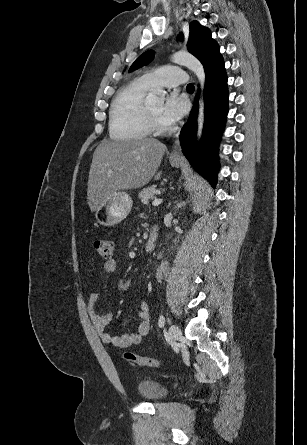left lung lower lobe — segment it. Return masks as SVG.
I'll return each mask as SVG.
<instances>
[{"mask_svg":"<svg viewBox=\"0 0 307 445\" xmlns=\"http://www.w3.org/2000/svg\"><path fill=\"white\" fill-rule=\"evenodd\" d=\"M205 123L200 145L195 142L198 95L187 124L181 131L180 140L183 153L213 187L217 181V144L224 130L228 112L227 76L223 58L212 61L206 68Z\"/></svg>","mask_w":307,"mask_h":445,"instance_id":"left-lung-lower-lobe-1","label":"left lung lower lobe"}]
</instances>
